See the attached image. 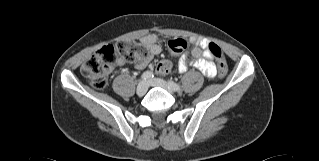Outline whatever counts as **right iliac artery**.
<instances>
[{
	"label": "right iliac artery",
	"instance_id": "82829eb1",
	"mask_svg": "<svg viewBox=\"0 0 319 161\" xmlns=\"http://www.w3.org/2000/svg\"><path fill=\"white\" fill-rule=\"evenodd\" d=\"M154 77V74L151 71H146L141 75V79L144 81L151 80Z\"/></svg>",
	"mask_w": 319,
	"mask_h": 161
}]
</instances>
